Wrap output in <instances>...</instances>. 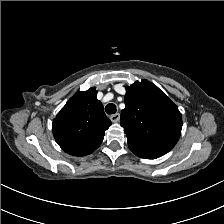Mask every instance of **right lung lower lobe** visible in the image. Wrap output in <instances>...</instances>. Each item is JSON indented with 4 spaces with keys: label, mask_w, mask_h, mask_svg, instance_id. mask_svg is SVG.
<instances>
[{
    "label": "right lung lower lobe",
    "mask_w": 224,
    "mask_h": 224,
    "mask_svg": "<svg viewBox=\"0 0 224 224\" xmlns=\"http://www.w3.org/2000/svg\"><path fill=\"white\" fill-rule=\"evenodd\" d=\"M59 145H60V147H61L65 152H67L68 154H71V155H77V156H78L77 148H76L73 144H69V143H60Z\"/></svg>",
    "instance_id": "obj_1"
}]
</instances>
